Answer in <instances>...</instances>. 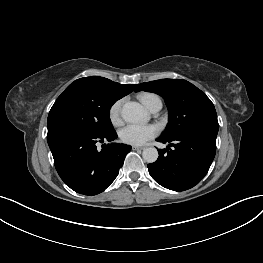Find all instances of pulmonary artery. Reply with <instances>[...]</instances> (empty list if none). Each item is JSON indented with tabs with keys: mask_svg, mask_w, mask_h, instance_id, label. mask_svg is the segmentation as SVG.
I'll list each match as a JSON object with an SVG mask.
<instances>
[{
	"mask_svg": "<svg viewBox=\"0 0 263 263\" xmlns=\"http://www.w3.org/2000/svg\"><path fill=\"white\" fill-rule=\"evenodd\" d=\"M161 108H162V102H161L160 99H157V100L153 103V105H152V107L149 109V111H150L151 113H153V114H157V113L161 110Z\"/></svg>",
	"mask_w": 263,
	"mask_h": 263,
	"instance_id": "pulmonary-artery-1",
	"label": "pulmonary artery"
}]
</instances>
